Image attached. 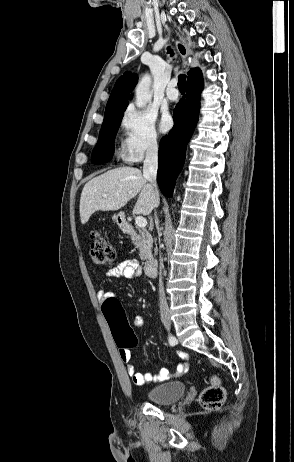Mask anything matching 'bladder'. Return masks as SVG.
I'll use <instances>...</instances> for the list:
<instances>
[{"label":"bladder","instance_id":"obj_1","mask_svg":"<svg viewBox=\"0 0 294 462\" xmlns=\"http://www.w3.org/2000/svg\"><path fill=\"white\" fill-rule=\"evenodd\" d=\"M186 392L183 382H167L154 386L146 395L150 403L166 405L179 400Z\"/></svg>","mask_w":294,"mask_h":462}]
</instances>
